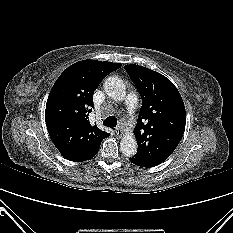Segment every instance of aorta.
<instances>
[{
    "label": "aorta",
    "instance_id": "obj_1",
    "mask_svg": "<svg viewBox=\"0 0 233 233\" xmlns=\"http://www.w3.org/2000/svg\"><path fill=\"white\" fill-rule=\"evenodd\" d=\"M106 94L114 100H122L126 95L124 82L116 77H108L104 82ZM121 152L126 156H133L137 152V142L133 134H126L120 142Z\"/></svg>",
    "mask_w": 233,
    "mask_h": 233
}]
</instances>
